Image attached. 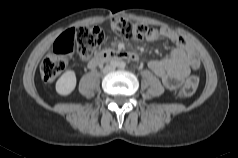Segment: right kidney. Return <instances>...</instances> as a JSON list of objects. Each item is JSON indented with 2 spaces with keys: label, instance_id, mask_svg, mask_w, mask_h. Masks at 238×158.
Here are the masks:
<instances>
[{
  "label": "right kidney",
  "instance_id": "1",
  "mask_svg": "<svg viewBox=\"0 0 238 158\" xmlns=\"http://www.w3.org/2000/svg\"><path fill=\"white\" fill-rule=\"evenodd\" d=\"M76 87V74L68 70L56 82V92L62 96L71 94Z\"/></svg>",
  "mask_w": 238,
  "mask_h": 158
}]
</instances>
